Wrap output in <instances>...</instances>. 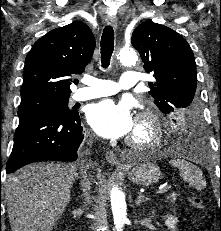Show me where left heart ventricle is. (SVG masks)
<instances>
[{
	"mask_svg": "<svg viewBox=\"0 0 221 231\" xmlns=\"http://www.w3.org/2000/svg\"><path fill=\"white\" fill-rule=\"evenodd\" d=\"M130 136H135L137 138H144L146 136V131L143 128H141L139 125H135V128Z\"/></svg>",
	"mask_w": 221,
	"mask_h": 231,
	"instance_id": "obj_1",
	"label": "left heart ventricle"
}]
</instances>
